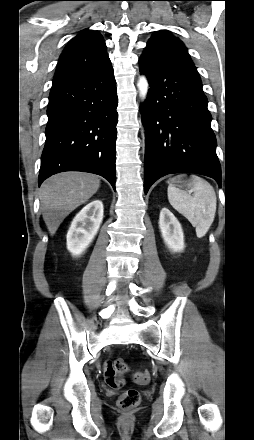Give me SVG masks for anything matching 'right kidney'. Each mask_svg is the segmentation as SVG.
Instances as JSON below:
<instances>
[{"instance_id":"1","label":"right kidney","mask_w":254,"mask_h":440,"mask_svg":"<svg viewBox=\"0 0 254 440\" xmlns=\"http://www.w3.org/2000/svg\"><path fill=\"white\" fill-rule=\"evenodd\" d=\"M103 220V203L94 200L73 219L67 233V249L74 256L81 255L96 236Z\"/></svg>"}]
</instances>
